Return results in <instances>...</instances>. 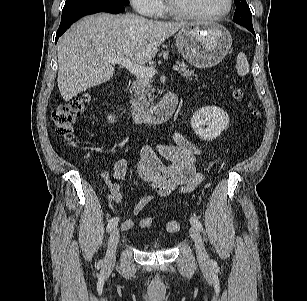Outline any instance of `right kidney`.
<instances>
[{
	"label": "right kidney",
	"instance_id": "obj_1",
	"mask_svg": "<svg viewBox=\"0 0 307 301\" xmlns=\"http://www.w3.org/2000/svg\"><path fill=\"white\" fill-rule=\"evenodd\" d=\"M108 120H109V122L113 123L114 120H115V117L113 115H109Z\"/></svg>",
	"mask_w": 307,
	"mask_h": 301
}]
</instances>
